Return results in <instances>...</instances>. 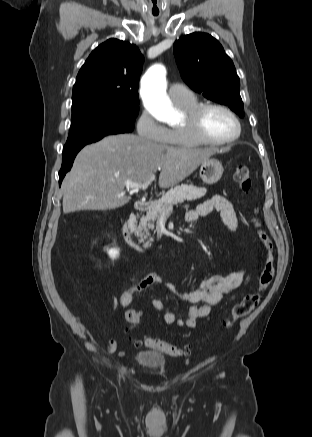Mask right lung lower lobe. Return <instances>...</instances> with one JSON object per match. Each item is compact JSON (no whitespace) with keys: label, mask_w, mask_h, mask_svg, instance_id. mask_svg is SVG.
<instances>
[{"label":"right lung lower lobe","mask_w":312,"mask_h":437,"mask_svg":"<svg viewBox=\"0 0 312 437\" xmlns=\"http://www.w3.org/2000/svg\"><path fill=\"white\" fill-rule=\"evenodd\" d=\"M79 151H80V149L63 154L62 166H61V170L59 171V185H61V182H62L65 174L71 169V167L73 165L74 158Z\"/></svg>","instance_id":"obj_1"}]
</instances>
